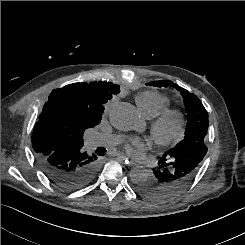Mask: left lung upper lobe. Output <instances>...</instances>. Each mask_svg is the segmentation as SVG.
I'll return each mask as SVG.
<instances>
[{
  "label": "left lung upper lobe",
  "mask_w": 245,
  "mask_h": 245,
  "mask_svg": "<svg viewBox=\"0 0 245 245\" xmlns=\"http://www.w3.org/2000/svg\"><path fill=\"white\" fill-rule=\"evenodd\" d=\"M146 85L155 87H176V89L183 96L187 111V126L184 139L174 148L165 152L163 156H166L169 153L190 144L204 143V138L208 129V113L200 99L195 94L189 93L186 89L177 86L175 83L169 80L153 81L147 83Z\"/></svg>",
  "instance_id": "left-lung-upper-lobe-1"
}]
</instances>
